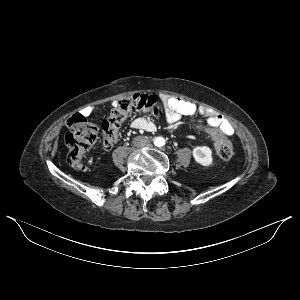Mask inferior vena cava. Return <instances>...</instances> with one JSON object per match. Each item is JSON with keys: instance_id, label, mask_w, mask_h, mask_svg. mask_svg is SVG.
Listing matches in <instances>:
<instances>
[{"instance_id": "1", "label": "inferior vena cava", "mask_w": 300, "mask_h": 300, "mask_svg": "<svg viewBox=\"0 0 300 300\" xmlns=\"http://www.w3.org/2000/svg\"><path fill=\"white\" fill-rule=\"evenodd\" d=\"M150 143L149 138L147 136H137L133 139V145L135 147H145Z\"/></svg>"}]
</instances>
